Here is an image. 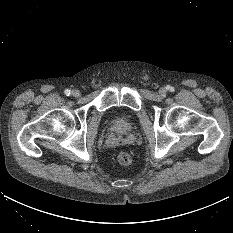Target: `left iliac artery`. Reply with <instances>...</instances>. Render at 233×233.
I'll return each instance as SVG.
<instances>
[{
  "instance_id": "left-iliac-artery-1",
  "label": "left iliac artery",
  "mask_w": 233,
  "mask_h": 233,
  "mask_svg": "<svg viewBox=\"0 0 233 233\" xmlns=\"http://www.w3.org/2000/svg\"><path fill=\"white\" fill-rule=\"evenodd\" d=\"M169 89H170V91H173V90H174V88H173V87H169Z\"/></svg>"
}]
</instances>
